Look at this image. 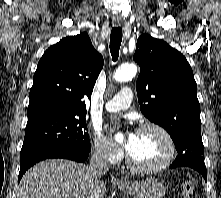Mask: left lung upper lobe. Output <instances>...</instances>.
<instances>
[{"mask_svg":"<svg viewBox=\"0 0 221 198\" xmlns=\"http://www.w3.org/2000/svg\"><path fill=\"white\" fill-rule=\"evenodd\" d=\"M133 59L140 66L136 90L142 113L167 130L178 155L204 156L197 85L186 58L165 41L143 34Z\"/></svg>","mask_w":221,"mask_h":198,"instance_id":"obj_1","label":"left lung upper lobe"}]
</instances>
